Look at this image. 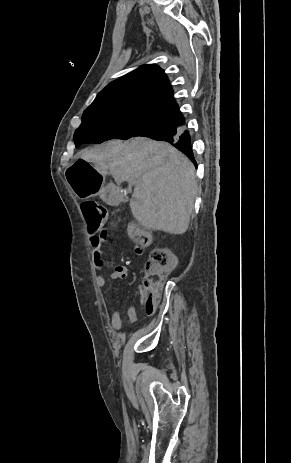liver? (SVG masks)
I'll use <instances>...</instances> for the list:
<instances>
[{
    "mask_svg": "<svg viewBox=\"0 0 291 463\" xmlns=\"http://www.w3.org/2000/svg\"><path fill=\"white\" fill-rule=\"evenodd\" d=\"M78 157L93 163L102 176L109 171L118 185L134 184L130 208L142 226L177 235L187 231L197 182L193 164L176 148L135 137L85 149Z\"/></svg>",
    "mask_w": 291,
    "mask_h": 463,
    "instance_id": "obj_1",
    "label": "liver"
}]
</instances>
